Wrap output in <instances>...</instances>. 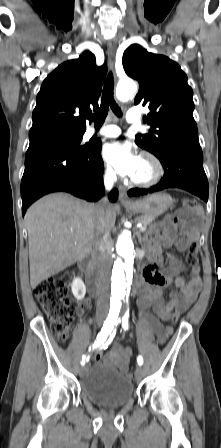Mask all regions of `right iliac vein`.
<instances>
[{"label": "right iliac vein", "mask_w": 221, "mask_h": 448, "mask_svg": "<svg viewBox=\"0 0 221 448\" xmlns=\"http://www.w3.org/2000/svg\"><path fill=\"white\" fill-rule=\"evenodd\" d=\"M102 323H103V319H100V320L98 321V325L101 326ZM87 371H88V365H83V366H81L80 369H79V375H80V377H83V376L86 374Z\"/></svg>", "instance_id": "right-iliac-vein-1"}]
</instances>
